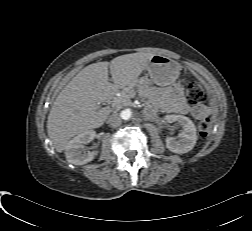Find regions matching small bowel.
Returning a JSON list of instances; mask_svg holds the SVG:
<instances>
[{
  "instance_id": "c3829d8e",
  "label": "small bowel",
  "mask_w": 252,
  "mask_h": 231,
  "mask_svg": "<svg viewBox=\"0 0 252 231\" xmlns=\"http://www.w3.org/2000/svg\"><path fill=\"white\" fill-rule=\"evenodd\" d=\"M166 107L168 110L180 114L191 113V115L198 120L208 117L210 113L207 106L199 105L196 107H190L182 98H177L173 102L167 103Z\"/></svg>"
}]
</instances>
